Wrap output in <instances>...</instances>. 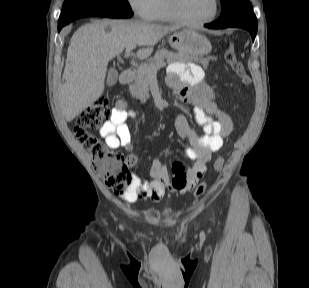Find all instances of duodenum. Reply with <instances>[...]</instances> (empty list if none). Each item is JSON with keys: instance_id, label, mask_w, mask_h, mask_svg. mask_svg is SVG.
Returning <instances> with one entry per match:
<instances>
[{"instance_id": "duodenum-1", "label": "duodenum", "mask_w": 309, "mask_h": 288, "mask_svg": "<svg viewBox=\"0 0 309 288\" xmlns=\"http://www.w3.org/2000/svg\"><path fill=\"white\" fill-rule=\"evenodd\" d=\"M134 73L131 69H125L120 73L119 83L121 85H126L132 81Z\"/></svg>"}]
</instances>
